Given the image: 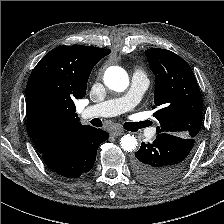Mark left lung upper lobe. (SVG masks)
I'll use <instances>...</instances> for the list:
<instances>
[{"instance_id":"left-lung-upper-lobe-1","label":"left lung upper lobe","mask_w":224,"mask_h":224,"mask_svg":"<svg viewBox=\"0 0 224 224\" xmlns=\"http://www.w3.org/2000/svg\"><path fill=\"white\" fill-rule=\"evenodd\" d=\"M155 75L153 116L157 134L196 138L202 125V96L190 66L177 54L160 48L145 51Z\"/></svg>"}]
</instances>
